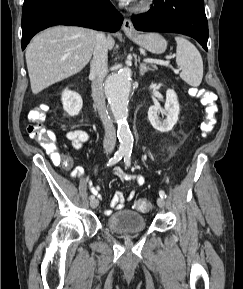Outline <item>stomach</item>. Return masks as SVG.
I'll return each mask as SVG.
<instances>
[{
	"label": "stomach",
	"instance_id": "stomach-1",
	"mask_svg": "<svg viewBox=\"0 0 243 289\" xmlns=\"http://www.w3.org/2000/svg\"><path fill=\"white\" fill-rule=\"evenodd\" d=\"M127 36L139 46L145 48L151 53H163L167 48V41L159 33H145Z\"/></svg>",
	"mask_w": 243,
	"mask_h": 289
}]
</instances>
